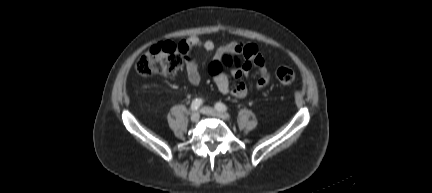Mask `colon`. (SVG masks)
Returning a JSON list of instances; mask_svg holds the SVG:
<instances>
[{
    "label": "colon",
    "instance_id": "1",
    "mask_svg": "<svg viewBox=\"0 0 432 193\" xmlns=\"http://www.w3.org/2000/svg\"><path fill=\"white\" fill-rule=\"evenodd\" d=\"M223 65L231 69L240 65L241 60L231 55H224ZM182 64L179 45L172 42H162L151 47L136 62V71L142 76L163 75L172 78ZM213 74V72H211ZM276 79L282 85H290L295 80V73L288 67H280L275 73Z\"/></svg>",
    "mask_w": 432,
    "mask_h": 193
}]
</instances>
